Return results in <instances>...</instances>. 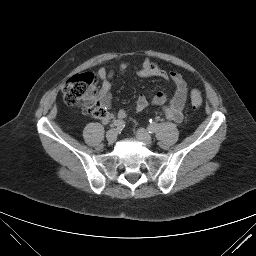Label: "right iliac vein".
<instances>
[{
  "label": "right iliac vein",
  "instance_id": "obj_1",
  "mask_svg": "<svg viewBox=\"0 0 256 256\" xmlns=\"http://www.w3.org/2000/svg\"><path fill=\"white\" fill-rule=\"evenodd\" d=\"M106 139L109 143H114L117 139V130L111 129L106 133Z\"/></svg>",
  "mask_w": 256,
  "mask_h": 256
}]
</instances>
